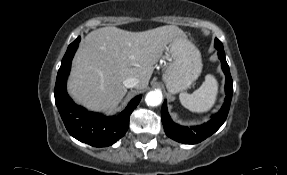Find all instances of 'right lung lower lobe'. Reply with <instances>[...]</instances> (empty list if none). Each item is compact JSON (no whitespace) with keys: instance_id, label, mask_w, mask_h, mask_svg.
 I'll return each mask as SVG.
<instances>
[{"instance_id":"1","label":"right lung lower lobe","mask_w":287,"mask_h":175,"mask_svg":"<svg viewBox=\"0 0 287 175\" xmlns=\"http://www.w3.org/2000/svg\"><path fill=\"white\" fill-rule=\"evenodd\" d=\"M80 39L78 37L69 45L62 59L54 90L55 103L71 136L91 146L107 147L125 135L129 127V117L139 104L141 95L132 99L121 113L110 117L89 112L75 104L67 94L66 82L71 68V61Z\"/></svg>"}]
</instances>
